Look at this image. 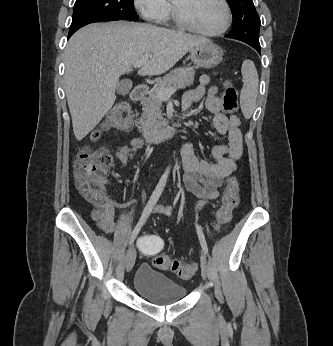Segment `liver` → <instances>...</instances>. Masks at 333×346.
Returning a JSON list of instances; mask_svg holds the SVG:
<instances>
[{
	"label": "liver",
	"instance_id": "1",
	"mask_svg": "<svg viewBox=\"0 0 333 346\" xmlns=\"http://www.w3.org/2000/svg\"><path fill=\"white\" fill-rule=\"evenodd\" d=\"M203 37L149 24L94 23L78 30L65 49L64 89L78 141L88 135L113 106L119 77L151 55L138 74L161 75Z\"/></svg>",
	"mask_w": 333,
	"mask_h": 346
}]
</instances>
